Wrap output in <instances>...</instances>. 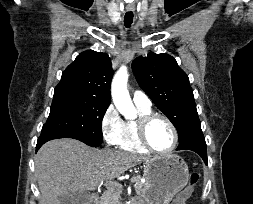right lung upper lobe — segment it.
Instances as JSON below:
<instances>
[{"label":"right lung upper lobe","mask_w":253,"mask_h":204,"mask_svg":"<svg viewBox=\"0 0 253 204\" xmlns=\"http://www.w3.org/2000/svg\"><path fill=\"white\" fill-rule=\"evenodd\" d=\"M112 76L109 56L88 50L79 54L66 68L55 89L72 90L95 101L110 104Z\"/></svg>","instance_id":"cb5924a9"}]
</instances>
